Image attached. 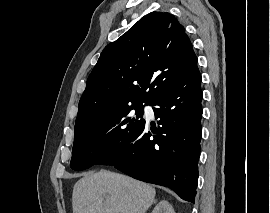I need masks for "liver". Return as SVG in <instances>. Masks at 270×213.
I'll return each mask as SVG.
<instances>
[{
    "mask_svg": "<svg viewBox=\"0 0 270 213\" xmlns=\"http://www.w3.org/2000/svg\"><path fill=\"white\" fill-rule=\"evenodd\" d=\"M153 187L128 176L101 170L78 180L73 213H145L155 199Z\"/></svg>",
    "mask_w": 270,
    "mask_h": 213,
    "instance_id": "6515ba94",
    "label": "liver"
}]
</instances>
